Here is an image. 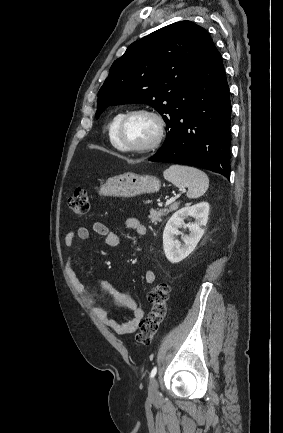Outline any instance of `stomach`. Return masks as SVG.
I'll use <instances>...</instances> for the list:
<instances>
[{"mask_svg":"<svg viewBox=\"0 0 283 433\" xmlns=\"http://www.w3.org/2000/svg\"><path fill=\"white\" fill-rule=\"evenodd\" d=\"M160 186L157 176L124 172L107 178L106 182L99 186L98 192L103 196H137L143 192H157Z\"/></svg>","mask_w":283,"mask_h":433,"instance_id":"stomach-1","label":"stomach"}]
</instances>
